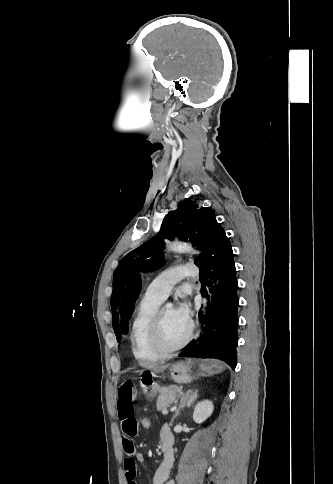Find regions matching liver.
I'll return each instance as SVG.
<instances>
[{
    "label": "liver",
    "mask_w": 333,
    "mask_h": 484,
    "mask_svg": "<svg viewBox=\"0 0 333 484\" xmlns=\"http://www.w3.org/2000/svg\"><path fill=\"white\" fill-rule=\"evenodd\" d=\"M169 367L168 364L166 365H154V366H151L149 367L153 372L155 373H161L163 372L164 370H166L167 368Z\"/></svg>",
    "instance_id": "1"
}]
</instances>
